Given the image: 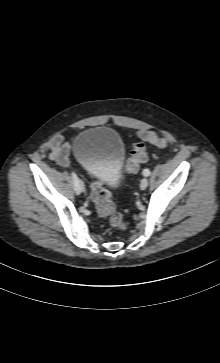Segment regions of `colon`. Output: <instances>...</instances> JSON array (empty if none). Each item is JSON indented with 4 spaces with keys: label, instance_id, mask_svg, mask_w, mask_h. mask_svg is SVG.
<instances>
[{
    "label": "colon",
    "instance_id": "1",
    "mask_svg": "<svg viewBox=\"0 0 220 363\" xmlns=\"http://www.w3.org/2000/svg\"><path fill=\"white\" fill-rule=\"evenodd\" d=\"M140 139L132 146L130 158L126 165V171L134 173L139 169L140 164L144 163L147 158V148L144 142H148L159 147L166 146L168 139L157 135L153 131H140L138 133ZM91 197L95 203L96 211L101 216L108 220L111 227L117 230H125L127 223L123 216L116 211L115 205L111 201L109 191L98 181L91 183Z\"/></svg>",
    "mask_w": 220,
    "mask_h": 363
}]
</instances>
